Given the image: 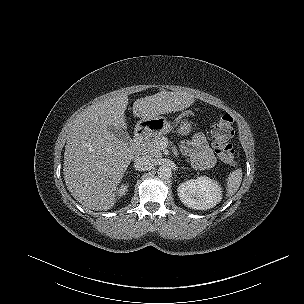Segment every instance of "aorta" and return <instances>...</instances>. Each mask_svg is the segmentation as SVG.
Wrapping results in <instances>:
<instances>
[{"mask_svg":"<svg viewBox=\"0 0 304 304\" xmlns=\"http://www.w3.org/2000/svg\"><path fill=\"white\" fill-rule=\"evenodd\" d=\"M158 176L163 179L171 177V169L168 167H159Z\"/></svg>","mask_w":304,"mask_h":304,"instance_id":"1","label":"aorta"}]
</instances>
